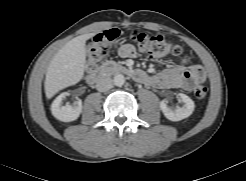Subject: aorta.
<instances>
[{"label":"aorta","mask_w":246,"mask_h":181,"mask_svg":"<svg viewBox=\"0 0 246 181\" xmlns=\"http://www.w3.org/2000/svg\"><path fill=\"white\" fill-rule=\"evenodd\" d=\"M113 82L116 86H123L125 83V77L122 74H117L113 78Z\"/></svg>","instance_id":"obj_1"}]
</instances>
